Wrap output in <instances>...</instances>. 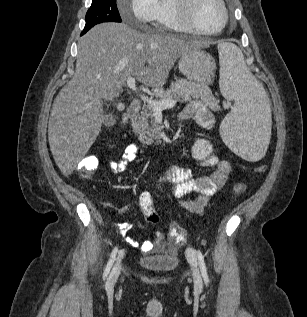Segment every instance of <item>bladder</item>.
Listing matches in <instances>:
<instances>
[{"mask_svg":"<svg viewBox=\"0 0 307 317\" xmlns=\"http://www.w3.org/2000/svg\"><path fill=\"white\" fill-rule=\"evenodd\" d=\"M138 262L143 268L149 271L167 272L172 271L177 267L178 256H142L139 258Z\"/></svg>","mask_w":307,"mask_h":317,"instance_id":"obj_1","label":"bladder"}]
</instances>
